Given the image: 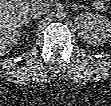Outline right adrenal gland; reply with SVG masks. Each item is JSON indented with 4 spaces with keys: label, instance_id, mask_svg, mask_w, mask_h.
<instances>
[{
    "label": "right adrenal gland",
    "instance_id": "obj_1",
    "mask_svg": "<svg viewBox=\"0 0 111 106\" xmlns=\"http://www.w3.org/2000/svg\"><path fill=\"white\" fill-rule=\"evenodd\" d=\"M32 19L37 20V19H39V17H38V16L29 15V17H27V19H26V21H25V26H26V27L28 26V24L30 23V21H31Z\"/></svg>",
    "mask_w": 111,
    "mask_h": 106
}]
</instances>
